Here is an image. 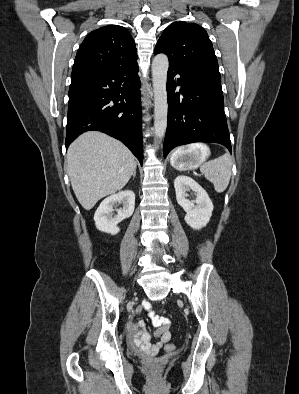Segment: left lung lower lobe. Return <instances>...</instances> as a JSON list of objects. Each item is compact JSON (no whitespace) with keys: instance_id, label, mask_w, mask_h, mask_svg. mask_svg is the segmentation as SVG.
<instances>
[{"instance_id":"1","label":"left lung lower lobe","mask_w":299,"mask_h":394,"mask_svg":"<svg viewBox=\"0 0 299 394\" xmlns=\"http://www.w3.org/2000/svg\"><path fill=\"white\" fill-rule=\"evenodd\" d=\"M177 74L180 77L175 79ZM177 86H180L179 92H175ZM167 94L164 158L176 146L193 142L219 143L231 152L218 69L169 65Z\"/></svg>"}]
</instances>
